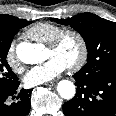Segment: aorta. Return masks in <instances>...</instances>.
Listing matches in <instances>:
<instances>
[{
  "label": "aorta",
  "instance_id": "aorta-1",
  "mask_svg": "<svg viewBox=\"0 0 116 116\" xmlns=\"http://www.w3.org/2000/svg\"><path fill=\"white\" fill-rule=\"evenodd\" d=\"M16 54L19 60L26 64H36L45 60L44 49L38 44L21 43L17 46ZM57 91L64 99L74 97L75 85L68 80H62L58 83Z\"/></svg>",
  "mask_w": 116,
  "mask_h": 116
}]
</instances>
